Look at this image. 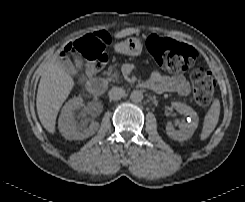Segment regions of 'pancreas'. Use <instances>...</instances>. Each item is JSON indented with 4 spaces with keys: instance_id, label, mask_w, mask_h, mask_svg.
I'll return each mask as SVG.
<instances>
[{
    "instance_id": "cf45deb5",
    "label": "pancreas",
    "mask_w": 245,
    "mask_h": 202,
    "mask_svg": "<svg viewBox=\"0 0 245 202\" xmlns=\"http://www.w3.org/2000/svg\"><path fill=\"white\" fill-rule=\"evenodd\" d=\"M112 71H113V69L110 68V69L106 72L107 76H109V77L106 79L107 82L115 81V80H118V79H119V74H118L117 72H114V73H113Z\"/></svg>"
}]
</instances>
